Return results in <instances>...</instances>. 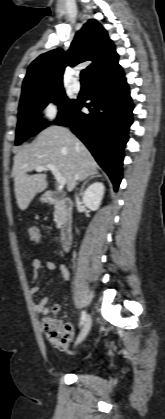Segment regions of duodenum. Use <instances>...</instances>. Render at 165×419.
<instances>
[{"mask_svg":"<svg viewBox=\"0 0 165 419\" xmlns=\"http://www.w3.org/2000/svg\"><path fill=\"white\" fill-rule=\"evenodd\" d=\"M47 199L49 204L57 207L60 219V243L63 250H67L73 237V202L68 198L59 196L58 192L54 190L48 192Z\"/></svg>","mask_w":165,"mask_h":419,"instance_id":"duodenum-1","label":"duodenum"}]
</instances>
